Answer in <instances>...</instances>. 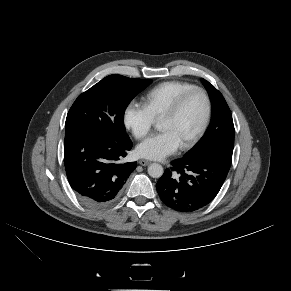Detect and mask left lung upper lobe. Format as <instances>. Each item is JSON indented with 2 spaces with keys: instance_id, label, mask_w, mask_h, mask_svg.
Returning <instances> with one entry per match:
<instances>
[{
  "instance_id": "obj_1",
  "label": "left lung upper lobe",
  "mask_w": 291,
  "mask_h": 291,
  "mask_svg": "<svg viewBox=\"0 0 291 291\" xmlns=\"http://www.w3.org/2000/svg\"><path fill=\"white\" fill-rule=\"evenodd\" d=\"M202 83L211 99V122L203 140L189 155L212 149L233 152L235 130L230 109L222 94L212 84L205 79H202Z\"/></svg>"
}]
</instances>
